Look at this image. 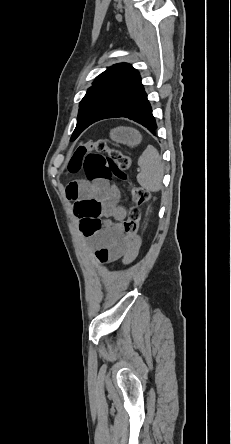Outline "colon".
I'll list each match as a JSON object with an SVG mask.
<instances>
[{
	"instance_id": "colon-1",
	"label": "colon",
	"mask_w": 231,
	"mask_h": 444,
	"mask_svg": "<svg viewBox=\"0 0 231 444\" xmlns=\"http://www.w3.org/2000/svg\"><path fill=\"white\" fill-rule=\"evenodd\" d=\"M131 167L130 157L120 149L111 148L103 139L80 144L73 152L67 166L70 173L83 172L85 181L125 180ZM150 199V193L143 187H133L127 218L122 227L128 237H135L141 219L140 206ZM74 213L80 219V230L86 237L96 234L101 228L100 205L93 200L75 204Z\"/></svg>"
}]
</instances>
